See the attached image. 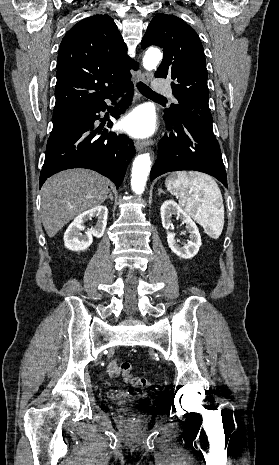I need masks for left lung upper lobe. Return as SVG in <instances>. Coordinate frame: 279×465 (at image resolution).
I'll return each instance as SVG.
<instances>
[{
  "label": "left lung upper lobe",
  "mask_w": 279,
  "mask_h": 465,
  "mask_svg": "<svg viewBox=\"0 0 279 465\" xmlns=\"http://www.w3.org/2000/svg\"><path fill=\"white\" fill-rule=\"evenodd\" d=\"M151 45L164 50L155 76L172 79L173 94L178 100V104L164 111V119L172 123L191 120L213 132L205 56L197 33L176 16L157 14L141 42L143 49Z\"/></svg>",
  "instance_id": "obj_1"
}]
</instances>
